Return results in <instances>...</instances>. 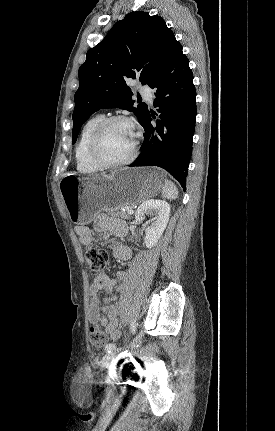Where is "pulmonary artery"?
I'll list each match as a JSON object with an SVG mask.
<instances>
[{"instance_id": "obj_1", "label": "pulmonary artery", "mask_w": 275, "mask_h": 431, "mask_svg": "<svg viewBox=\"0 0 275 431\" xmlns=\"http://www.w3.org/2000/svg\"><path fill=\"white\" fill-rule=\"evenodd\" d=\"M141 94L149 101V102H152V93H151V90H150V88H148V87H146V86H144V87H142L141 88Z\"/></svg>"}]
</instances>
